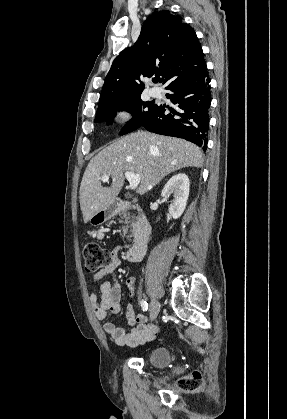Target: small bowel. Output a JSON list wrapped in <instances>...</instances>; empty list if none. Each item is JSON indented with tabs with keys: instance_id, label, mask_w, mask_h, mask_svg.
Returning <instances> with one entry per match:
<instances>
[{
	"instance_id": "obj_1",
	"label": "small bowel",
	"mask_w": 287,
	"mask_h": 419,
	"mask_svg": "<svg viewBox=\"0 0 287 419\" xmlns=\"http://www.w3.org/2000/svg\"><path fill=\"white\" fill-rule=\"evenodd\" d=\"M123 249L124 247L121 246L116 247L111 253L109 264L93 276V283L99 284L100 299H98L95 292H92L90 301L96 317L102 321L107 319L108 311L113 314H118L121 310L122 295L120 284L115 279L113 281H103V279L107 276H114L115 270L120 264L119 254ZM125 283L129 290V295L132 298L134 296L135 278L132 276L128 277ZM126 318L131 327L128 331L117 327L109 321H105L103 325L104 331L119 346L134 347L151 339L158 331V326L148 324L143 314L135 313L132 300L129 301L126 307Z\"/></svg>"
}]
</instances>
